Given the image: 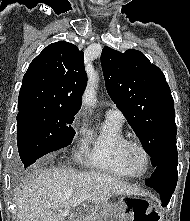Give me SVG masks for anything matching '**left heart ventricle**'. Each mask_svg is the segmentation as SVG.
<instances>
[{
	"mask_svg": "<svg viewBox=\"0 0 190 221\" xmlns=\"http://www.w3.org/2000/svg\"><path fill=\"white\" fill-rule=\"evenodd\" d=\"M133 159H134L135 163L139 167H143L144 166L145 157H144L143 153L139 149H135L133 151Z\"/></svg>",
	"mask_w": 190,
	"mask_h": 221,
	"instance_id": "left-heart-ventricle-1",
	"label": "left heart ventricle"
}]
</instances>
